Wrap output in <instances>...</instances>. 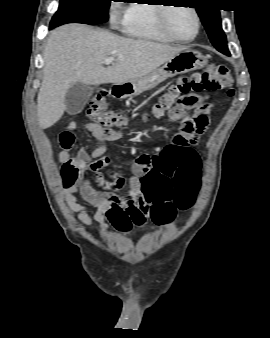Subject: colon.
Masks as SVG:
<instances>
[{
	"mask_svg": "<svg viewBox=\"0 0 270 338\" xmlns=\"http://www.w3.org/2000/svg\"><path fill=\"white\" fill-rule=\"evenodd\" d=\"M233 83V78L226 66L220 64L211 65L202 73H193L190 76L179 78L170 87L167 97L161 99L154 106L153 114L159 116L165 111H169L173 100L180 94L186 96L183 103L187 107H197L198 101L193 94L202 91L216 92L226 90L228 95L232 96ZM107 104L108 96L106 93H98L91 98L86 112L93 122L109 129L118 124L119 117L113 112L105 111ZM204 111V107H198L196 116L185 121L184 130L191 134V143L193 145L199 143L208 123V118ZM186 142L187 140L183 134H178L170 145L162 149L161 153L168 152ZM139 164L140 160L137 158L135 166ZM149 169V167L137 169L142 172L143 177L141 179H133L130 182V192L116 198L118 207L112 210V216L109 220L115 227L128 228L131 223L137 224L143 216L146 219L152 216L158 223L165 222L171 218L173 207L161 203L151 205L141 198L142 193L149 191ZM81 173L82 171L76 160L66 162L61 170L64 187H69L76 183ZM116 187L124 190L125 182L122 178L117 181ZM198 189L199 184L196 179L189 181L186 188L178 187L173 197L176 208L185 210L191 207L195 202Z\"/></svg>",
	"mask_w": 270,
	"mask_h": 338,
	"instance_id": "colon-1",
	"label": "colon"
}]
</instances>
